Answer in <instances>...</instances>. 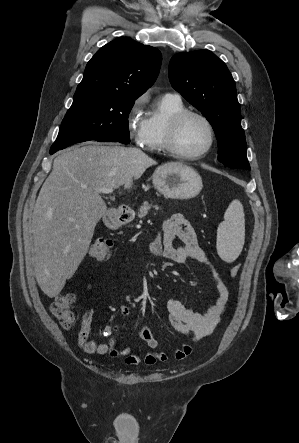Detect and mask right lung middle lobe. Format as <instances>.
<instances>
[{
    "mask_svg": "<svg viewBox=\"0 0 299 443\" xmlns=\"http://www.w3.org/2000/svg\"><path fill=\"white\" fill-rule=\"evenodd\" d=\"M135 100L104 92H76L51 149L95 139L130 143L128 117Z\"/></svg>",
    "mask_w": 299,
    "mask_h": 443,
    "instance_id": "dd1d6c3e",
    "label": "right lung middle lobe"
}]
</instances>
